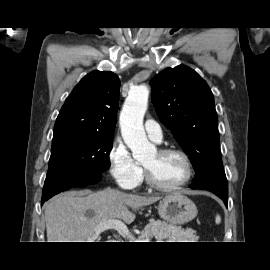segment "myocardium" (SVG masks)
<instances>
[{
    "mask_svg": "<svg viewBox=\"0 0 270 270\" xmlns=\"http://www.w3.org/2000/svg\"><path fill=\"white\" fill-rule=\"evenodd\" d=\"M157 152L159 154H176L180 156L185 166V176L180 182L174 185H170V186L161 185L152 178L149 170L143 165L144 176H145V180L148 186L151 187L152 189H155L161 192H172L186 186L190 182L193 176V166H192V162L189 155L183 149H180L177 147H161L157 150Z\"/></svg>",
    "mask_w": 270,
    "mask_h": 270,
    "instance_id": "myocardium-1",
    "label": "myocardium"
}]
</instances>
